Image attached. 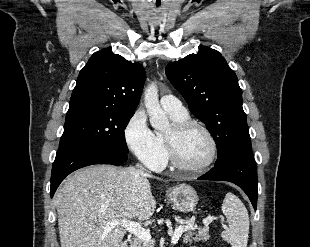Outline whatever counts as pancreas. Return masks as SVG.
Wrapping results in <instances>:
<instances>
[{
  "label": "pancreas",
  "mask_w": 310,
  "mask_h": 247,
  "mask_svg": "<svg viewBox=\"0 0 310 247\" xmlns=\"http://www.w3.org/2000/svg\"><path fill=\"white\" fill-rule=\"evenodd\" d=\"M193 225L190 222L182 223L180 226H186V225ZM195 229L188 230L184 236H183V241L184 243H192L194 242H199V241H204L206 242L209 238L210 235L208 234L209 228L204 227V228H198V231L195 233L193 232ZM130 247H151V245L147 242H144L143 240L139 239L138 237L134 238L133 241L130 244Z\"/></svg>",
  "instance_id": "pancreas-1"
}]
</instances>
